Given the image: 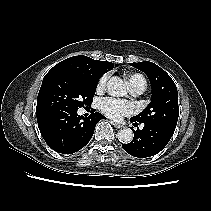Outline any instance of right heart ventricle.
<instances>
[{
    "mask_svg": "<svg viewBox=\"0 0 211 211\" xmlns=\"http://www.w3.org/2000/svg\"><path fill=\"white\" fill-rule=\"evenodd\" d=\"M127 80L130 87L142 85L146 88V80L141 74H131Z\"/></svg>",
    "mask_w": 211,
    "mask_h": 211,
    "instance_id": "e07e8e85",
    "label": "right heart ventricle"
}]
</instances>
